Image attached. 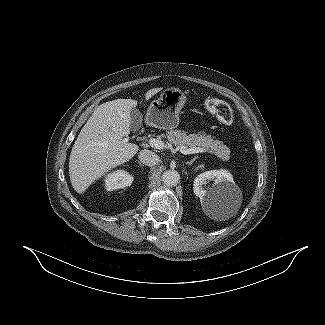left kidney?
I'll list each match as a JSON object with an SVG mask.
<instances>
[{"mask_svg":"<svg viewBox=\"0 0 325 325\" xmlns=\"http://www.w3.org/2000/svg\"><path fill=\"white\" fill-rule=\"evenodd\" d=\"M209 181H214L210 188L204 189L203 185ZM193 190L196 196L200 198L201 205H217L225 199H229L237 185L232 174L226 170H211L198 175L193 184Z\"/></svg>","mask_w":325,"mask_h":325,"instance_id":"1","label":"left kidney"}]
</instances>
